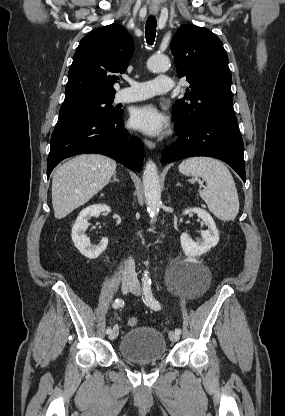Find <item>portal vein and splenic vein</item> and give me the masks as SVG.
<instances>
[{
    "label": "portal vein and splenic vein",
    "instance_id": "1",
    "mask_svg": "<svg viewBox=\"0 0 285 416\" xmlns=\"http://www.w3.org/2000/svg\"><path fill=\"white\" fill-rule=\"evenodd\" d=\"M196 182H201V180H196Z\"/></svg>",
    "mask_w": 285,
    "mask_h": 416
}]
</instances>
